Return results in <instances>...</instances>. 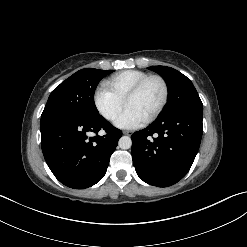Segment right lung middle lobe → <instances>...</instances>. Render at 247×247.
Returning <instances> with one entry per match:
<instances>
[{
    "mask_svg": "<svg viewBox=\"0 0 247 247\" xmlns=\"http://www.w3.org/2000/svg\"><path fill=\"white\" fill-rule=\"evenodd\" d=\"M113 70L86 68L63 81L50 94L42 116L64 112L81 117H96L94 92L99 81Z\"/></svg>",
    "mask_w": 247,
    "mask_h": 247,
    "instance_id": "right-lung-middle-lobe-1",
    "label": "right lung middle lobe"
}]
</instances>
